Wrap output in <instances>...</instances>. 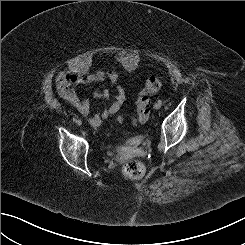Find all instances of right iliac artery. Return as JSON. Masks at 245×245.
Masks as SVG:
<instances>
[{"label": "right iliac artery", "instance_id": "1", "mask_svg": "<svg viewBox=\"0 0 245 245\" xmlns=\"http://www.w3.org/2000/svg\"><path fill=\"white\" fill-rule=\"evenodd\" d=\"M73 121H74V122H76V121H77V119H76V118H73Z\"/></svg>", "mask_w": 245, "mask_h": 245}]
</instances>
